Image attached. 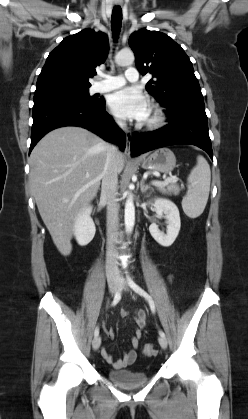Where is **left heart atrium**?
Masks as SVG:
<instances>
[{
    "instance_id": "39dd6f15",
    "label": "left heart atrium",
    "mask_w": 248,
    "mask_h": 419,
    "mask_svg": "<svg viewBox=\"0 0 248 419\" xmlns=\"http://www.w3.org/2000/svg\"><path fill=\"white\" fill-rule=\"evenodd\" d=\"M109 107L118 117L145 121L150 114L147 97L135 87L123 88L110 96Z\"/></svg>"
}]
</instances>
